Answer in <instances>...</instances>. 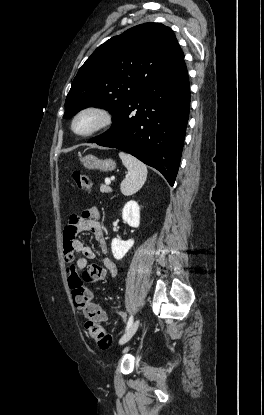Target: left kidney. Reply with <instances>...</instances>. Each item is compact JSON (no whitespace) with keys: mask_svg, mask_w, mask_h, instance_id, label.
Returning <instances> with one entry per match:
<instances>
[{"mask_svg":"<svg viewBox=\"0 0 264 415\" xmlns=\"http://www.w3.org/2000/svg\"><path fill=\"white\" fill-rule=\"evenodd\" d=\"M123 220L131 227L138 228L140 225V207L138 203L134 200L128 201L123 210H122ZM134 245V240L129 239L123 241L117 238H114L111 243L112 253L115 259H122L126 253Z\"/></svg>","mask_w":264,"mask_h":415,"instance_id":"5707ae66","label":"left kidney"}]
</instances>
